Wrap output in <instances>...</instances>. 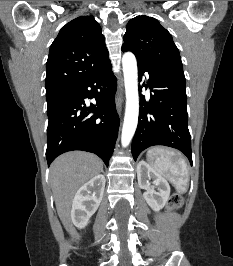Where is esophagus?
I'll use <instances>...</instances> for the list:
<instances>
[{"mask_svg": "<svg viewBox=\"0 0 233 266\" xmlns=\"http://www.w3.org/2000/svg\"><path fill=\"white\" fill-rule=\"evenodd\" d=\"M122 105H123L122 91L120 89H118L117 93H116V108H117L119 115L121 114Z\"/></svg>", "mask_w": 233, "mask_h": 266, "instance_id": "1", "label": "esophagus"}]
</instances>
